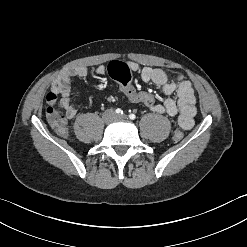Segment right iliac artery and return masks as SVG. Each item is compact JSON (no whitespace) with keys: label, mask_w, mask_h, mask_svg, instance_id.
Here are the masks:
<instances>
[{"label":"right iliac artery","mask_w":247,"mask_h":247,"mask_svg":"<svg viewBox=\"0 0 247 247\" xmlns=\"http://www.w3.org/2000/svg\"><path fill=\"white\" fill-rule=\"evenodd\" d=\"M118 115H122L123 114V111L121 110V109H116V111H115Z\"/></svg>","instance_id":"1"}]
</instances>
